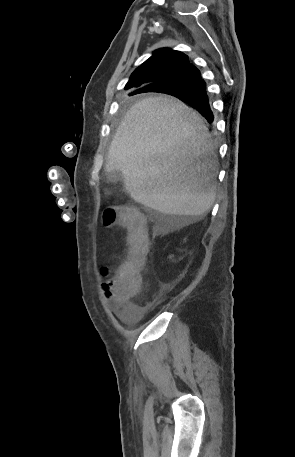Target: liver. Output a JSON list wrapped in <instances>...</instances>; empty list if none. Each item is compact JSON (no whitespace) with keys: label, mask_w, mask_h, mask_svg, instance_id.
<instances>
[{"label":"liver","mask_w":295,"mask_h":457,"mask_svg":"<svg viewBox=\"0 0 295 457\" xmlns=\"http://www.w3.org/2000/svg\"><path fill=\"white\" fill-rule=\"evenodd\" d=\"M201 116L156 96L135 103L108 151L107 173L120 171L136 202L165 215L202 216L216 196L217 162Z\"/></svg>","instance_id":"obj_1"}]
</instances>
